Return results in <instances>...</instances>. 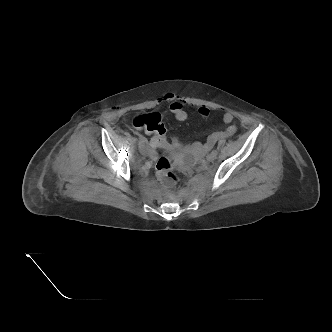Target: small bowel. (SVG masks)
I'll list each match as a JSON object with an SVG mask.
<instances>
[{
  "mask_svg": "<svg viewBox=\"0 0 332 332\" xmlns=\"http://www.w3.org/2000/svg\"><path fill=\"white\" fill-rule=\"evenodd\" d=\"M164 101L169 103V109L178 121H185L188 118V113L184 109L183 100L173 93H167ZM198 113L202 118H207L210 114V110L206 107H200ZM234 115L231 112H225L223 114V122L228 126L221 131L212 132L208 135L204 143L195 142L191 145V148L197 153H203L211 149L219 139L228 138L234 135L237 131V127L233 124ZM173 143L175 145H180V141L177 137H173ZM160 146L157 144L155 137H152L149 147L145 148L144 153L154 158L157 154V149Z\"/></svg>",
  "mask_w": 332,
  "mask_h": 332,
  "instance_id": "small-bowel-1",
  "label": "small bowel"
}]
</instances>
